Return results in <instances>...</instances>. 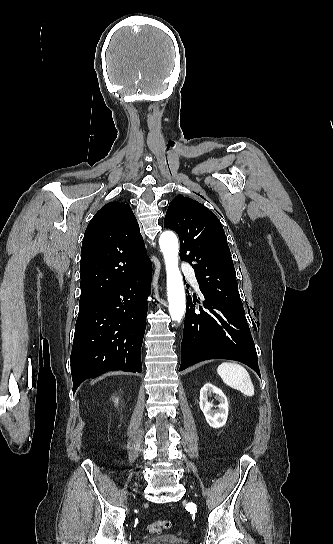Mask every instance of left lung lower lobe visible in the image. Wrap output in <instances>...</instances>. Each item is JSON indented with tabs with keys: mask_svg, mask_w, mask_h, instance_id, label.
I'll list each match as a JSON object with an SVG mask.
<instances>
[{
	"mask_svg": "<svg viewBox=\"0 0 333 544\" xmlns=\"http://www.w3.org/2000/svg\"><path fill=\"white\" fill-rule=\"evenodd\" d=\"M205 301L195 308L187 297L179 371L208 359L240 361L259 372L255 344L245 314L215 300L200 288ZM261 377V376H260Z\"/></svg>",
	"mask_w": 333,
	"mask_h": 544,
	"instance_id": "1",
	"label": "left lung lower lobe"
}]
</instances>
